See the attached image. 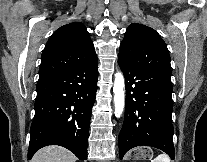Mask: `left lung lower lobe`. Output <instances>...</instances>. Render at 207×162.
<instances>
[{
  "mask_svg": "<svg viewBox=\"0 0 207 162\" xmlns=\"http://www.w3.org/2000/svg\"><path fill=\"white\" fill-rule=\"evenodd\" d=\"M126 83V109L119 134V156L133 147L151 146L175 158L171 78L119 61Z\"/></svg>",
  "mask_w": 207,
  "mask_h": 162,
  "instance_id": "left-lung-lower-lobe-1",
  "label": "left lung lower lobe"
}]
</instances>
